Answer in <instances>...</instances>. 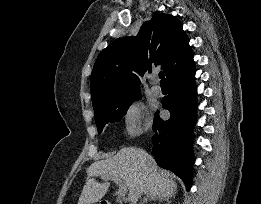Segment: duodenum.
Returning <instances> with one entry per match:
<instances>
[{"label":"duodenum","instance_id":"duodenum-1","mask_svg":"<svg viewBox=\"0 0 261 204\" xmlns=\"http://www.w3.org/2000/svg\"><path fill=\"white\" fill-rule=\"evenodd\" d=\"M103 204H111V203H109V202H104Z\"/></svg>","mask_w":261,"mask_h":204}]
</instances>
